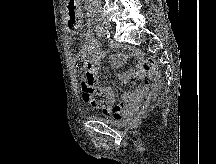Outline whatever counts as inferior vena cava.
Wrapping results in <instances>:
<instances>
[{
  "instance_id": "inferior-vena-cava-1",
  "label": "inferior vena cava",
  "mask_w": 216,
  "mask_h": 164,
  "mask_svg": "<svg viewBox=\"0 0 216 164\" xmlns=\"http://www.w3.org/2000/svg\"><path fill=\"white\" fill-rule=\"evenodd\" d=\"M96 3H99V0H95ZM96 5H100V4H96Z\"/></svg>"
}]
</instances>
